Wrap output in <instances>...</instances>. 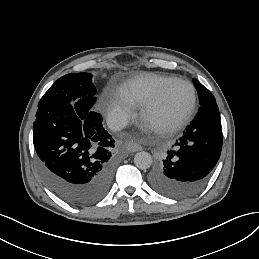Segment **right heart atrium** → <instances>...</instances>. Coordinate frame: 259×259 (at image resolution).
I'll return each mask as SVG.
<instances>
[{
    "mask_svg": "<svg viewBox=\"0 0 259 259\" xmlns=\"http://www.w3.org/2000/svg\"><path fill=\"white\" fill-rule=\"evenodd\" d=\"M103 116L115 127L132 122L139 114V106L123 90L106 88L100 100Z\"/></svg>",
    "mask_w": 259,
    "mask_h": 259,
    "instance_id": "right-heart-atrium-1",
    "label": "right heart atrium"
}]
</instances>
